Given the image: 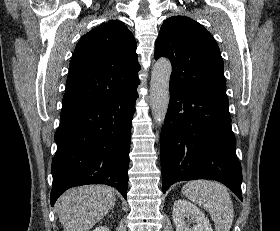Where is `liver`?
<instances>
[{
    "mask_svg": "<svg viewBox=\"0 0 280 231\" xmlns=\"http://www.w3.org/2000/svg\"><path fill=\"white\" fill-rule=\"evenodd\" d=\"M115 201L113 189L107 185L71 187L56 203L64 231H89Z\"/></svg>",
    "mask_w": 280,
    "mask_h": 231,
    "instance_id": "6515ba94",
    "label": "liver"
}]
</instances>
